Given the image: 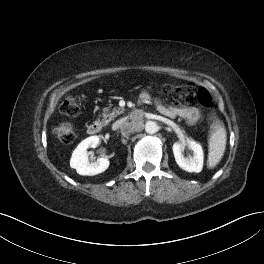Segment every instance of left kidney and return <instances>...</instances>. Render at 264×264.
Instances as JSON below:
<instances>
[{
	"mask_svg": "<svg viewBox=\"0 0 264 264\" xmlns=\"http://www.w3.org/2000/svg\"><path fill=\"white\" fill-rule=\"evenodd\" d=\"M188 146L189 149L193 150V157H184L182 152L184 148ZM173 154L176 163L180 168L188 172L199 173L203 168L204 153L202 146L192 139H187L183 142H175L173 144Z\"/></svg>",
	"mask_w": 264,
	"mask_h": 264,
	"instance_id": "1",
	"label": "left kidney"
}]
</instances>
